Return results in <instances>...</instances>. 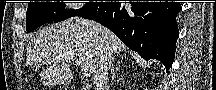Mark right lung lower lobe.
<instances>
[{"label":"right lung lower lobe","mask_w":216,"mask_h":90,"mask_svg":"<svg viewBox=\"0 0 216 90\" xmlns=\"http://www.w3.org/2000/svg\"><path fill=\"white\" fill-rule=\"evenodd\" d=\"M102 2L82 17L95 20L114 32L144 59L160 60L171 67L179 30V2Z\"/></svg>","instance_id":"98d812e1"}]
</instances>
